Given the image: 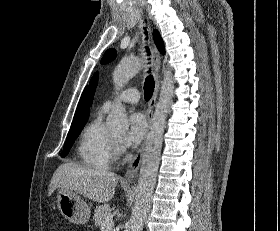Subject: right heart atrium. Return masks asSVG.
<instances>
[{
    "label": "right heart atrium",
    "mask_w": 280,
    "mask_h": 231,
    "mask_svg": "<svg viewBox=\"0 0 280 231\" xmlns=\"http://www.w3.org/2000/svg\"><path fill=\"white\" fill-rule=\"evenodd\" d=\"M113 150L117 151V146L116 145H113Z\"/></svg>",
    "instance_id": "d8ad5b80"
}]
</instances>
